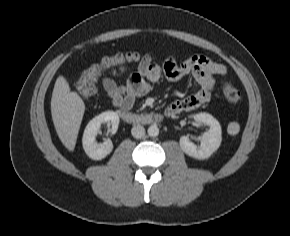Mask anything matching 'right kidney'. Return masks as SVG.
I'll return each mask as SVG.
<instances>
[{
    "label": "right kidney",
    "instance_id": "right-kidney-1",
    "mask_svg": "<svg viewBox=\"0 0 290 236\" xmlns=\"http://www.w3.org/2000/svg\"><path fill=\"white\" fill-rule=\"evenodd\" d=\"M103 123L111 125L112 134L116 133L119 125L118 114L113 111H106L95 116L87 124L83 133L82 144L85 153L93 160H101L113 150V143L110 139H106L103 143L96 141L99 128Z\"/></svg>",
    "mask_w": 290,
    "mask_h": 236
}]
</instances>
